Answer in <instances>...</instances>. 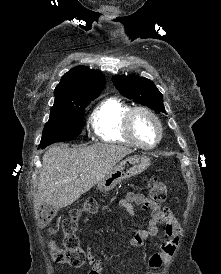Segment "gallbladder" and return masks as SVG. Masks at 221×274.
<instances>
[{"mask_svg":"<svg viewBox=\"0 0 221 274\" xmlns=\"http://www.w3.org/2000/svg\"><path fill=\"white\" fill-rule=\"evenodd\" d=\"M51 212H52V214H49V216H50L51 218H53V217L56 215L57 210L54 209V210H52ZM47 218H48V217H47Z\"/></svg>","mask_w":221,"mask_h":274,"instance_id":"obj_1","label":"gallbladder"}]
</instances>
